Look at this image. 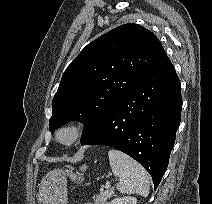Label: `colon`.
Listing matches in <instances>:
<instances>
[{
	"label": "colon",
	"instance_id": "obj_1",
	"mask_svg": "<svg viewBox=\"0 0 212 204\" xmlns=\"http://www.w3.org/2000/svg\"><path fill=\"white\" fill-rule=\"evenodd\" d=\"M85 168H86V166H83V167H82V170H84Z\"/></svg>",
	"mask_w": 212,
	"mask_h": 204
}]
</instances>
